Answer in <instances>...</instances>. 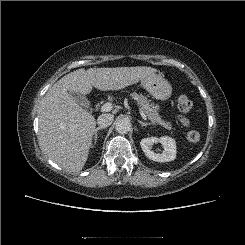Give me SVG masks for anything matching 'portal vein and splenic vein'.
I'll list each match as a JSON object with an SVG mask.
<instances>
[{
    "mask_svg": "<svg viewBox=\"0 0 245 245\" xmlns=\"http://www.w3.org/2000/svg\"><path fill=\"white\" fill-rule=\"evenodd\" d=\"M112 109H113V105L110 102H107V103L103 104L102 107H101V111L102 112H109ZM140 115L142 116V118L144 120H147V116L145 115V113L141 109H140Z\"/></svg>",
    "mask_w": 245,
    "mask_h": 245,
    "instance_id": "18ae733b",
    "label": "portal vein and splenic vein"
}]
</instances>
